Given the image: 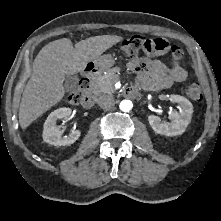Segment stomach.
Wrapping results in <instances>:
<instances>
[{
    "mask_svg": "<svg viewBox=\"0 0 221 221\" xmlns=\"http://www.w3.org/2000/svg\"><path fill=\"white\" fill-rule=\"evenodd\" d=\"M114 63V58L109 54L100 56L94 60L95 67L100 71L108 70L111 66L114 65Z\"/></svg>",
    "mask_w": 221,
    "mask_h": 221,
    "instance_id": "0dacf381",
    "label": "stomach"
}]
</instances>
